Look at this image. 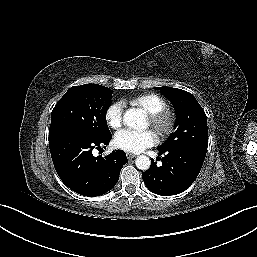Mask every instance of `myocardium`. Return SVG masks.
<instances>
[{
  "instance_id": "f54148a6",
  "label": "myocardium",
  "mask_w": 257,
  "mask_h": 257,
  "mask_svg": "<svg viewBox=\"0 0 257 257\" xmlns=\"http://www.w3.org/2000/svg\"><path fill=\"white\" fill-rule=\"evenodd\" d=\"M151 127L161 136L168 135L174 128V113L167 107L148 115Z\"/></svg>"
}]
</instances>
